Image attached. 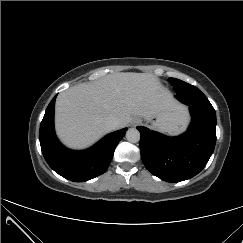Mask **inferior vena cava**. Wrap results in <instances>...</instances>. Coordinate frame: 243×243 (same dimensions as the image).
Returning a JSON list of instances; mask_svg holds the SVG:
<instances>
[{"label": "inferior vena cava", "instance_id": "inferior-vena-cava-1", "mask_svg": "<svg viewBox=\"0 0 243 243\" xmlns=\"http://www.w3.org/2000/svg\"><path fill=\"white\" fill-rule=\"evenodd\" d=\"M119 119L116 118V117H112V118H109L107 121H106V126L109 130H114V129H117L118 126H119Z\"/></svg>", "mask_w": 243, "mask_h": 243}]
</instances>
